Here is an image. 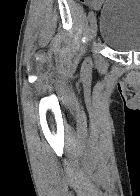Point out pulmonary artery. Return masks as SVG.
<instances>
[{"mask_svg":"<svg viewBox=\"0 0 140 196\" xmlns=\"http://www.w3.org/2000/svg\"><path fill=\"white\" fill-rule=\"evenodd\" d=\"M55 192H69V191H55Z\"/></svg>","mask_w":140,"mask_h":196,"instance_id":"1","label":"pulmonary artery"}]
</instances>
